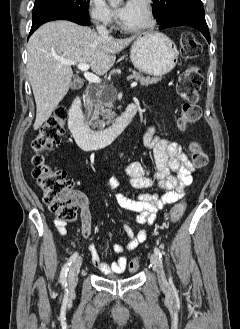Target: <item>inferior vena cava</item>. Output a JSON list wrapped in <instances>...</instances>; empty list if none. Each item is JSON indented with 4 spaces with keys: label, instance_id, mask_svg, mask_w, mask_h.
<instances>
[{
    "label": "inferior vena cava",
    "instance_id": "602c4592",
    "mask_svg": "<svg viewBox=\"0 0 240 329\" xmlns=\"http://www.w3.org/2000/svg\"><path fill=\"white\" fill-rule=\"evenodd\" d=\"M97 32L102 38L110 37L107 28L103 25H97Z\"/></svg>",
    "mask_w": 240,
    "mask_h": 329
}]
</instances>
